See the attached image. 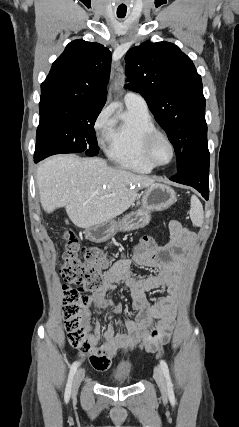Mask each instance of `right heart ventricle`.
Returning a JSON list of instances; mask_svg holds the SVG:
<instances>
[{
	"label": "right heart ventricle",
	"instance_id": "1",
	"mask_svg": "<svg viewBox=\"0 0 239 427\" xmlns=\"http://www.w3.org/2000/svg\"><path fill=\"white\" fill-rule=\"evenodd\" d=\"M157 130L148 109L126 105L125 111L112 119L111 128L105 137V152L108 158L124 169L149 173L154 167L143 153L146 136Z\"/></svg>",
	"mask_w": 239,
	"mask_h": 427
}]
</instances>
